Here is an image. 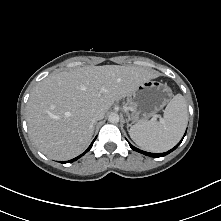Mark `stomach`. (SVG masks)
Segmentation results:
<instances>
[{"instance_id": "1", "label": "stomach", "mask_w": 221, "mask_h": 221, "mask_svg": "<svg viewBox=\"0 0 221 221\" xmlns=\"http://www.w3.org/2000/svg\"><path fill=\"white\" fill-rule=\"evenodd\" d=\"M172 97L171 88L160 81L147 80L128 96L129 117L134 123L148 120L160 111Z\"/></svg>"}]
</instances>
